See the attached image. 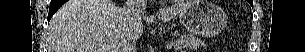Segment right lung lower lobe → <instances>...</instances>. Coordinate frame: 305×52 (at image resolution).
Returning a JSON list of instances; mask_svg holds the SVG:
<instances>
[{
  "instance_id": "right-lung-lower-lobe-1",
  "label": "right lung lower lobe",
  "mask_w": 305,
  "mask_h": 52,
  "mask_svg": "<svg viewBox=\"0 0 305 52\" xmlns=\"http://www.w3.org/2000/svg\"><path fill=\"white\" fill-rule=\"evenodd\" d=\"M65 0H51L50 9L48 14V21L51 19L53 14L65 3Z\"/></svg>"
}]
</instances>
